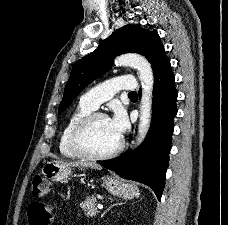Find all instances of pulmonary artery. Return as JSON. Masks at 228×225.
Here are the masks:
<instances>
[{
  "label": "pulmonary artery",
  "instance_id": "obj_1",
  "mask_svg": "<svg viewBox=\"0 0 228 225\" xmlns=\"http://www.w3.org/2000/svg\"><path fill=\"white\" fill-rule=\"evenodd\" d=\"M134 78V75H119V80ZM136 86H139V81H104L103 85H95V89L84 93L80 97V103L95 110L102 102L108 100L111 94H117V90H136Z\"/></svg>",
  "mask_w": 228,
  "mask_h": 225
}]
</instances>
